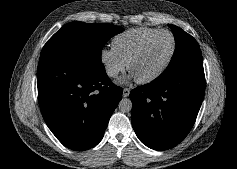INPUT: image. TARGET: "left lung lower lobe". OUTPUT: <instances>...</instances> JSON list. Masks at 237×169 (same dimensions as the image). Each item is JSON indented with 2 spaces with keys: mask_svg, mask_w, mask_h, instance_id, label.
<instances>
[{
  "mask_svg": "<svg viewBox=\"0 0 237 169\" xmlns=\"http://www.w3.org/2000/svg\"><path fill=\"white\" fill-rule=\"evenodd\" d=\"M204 91L203 65L160 75L133 89L131 119L137 137L154 150L176 146L194 125Z\"/></svg>",
  "mask_w": 237,
  "mask_h": 169,
  "instance_id": "obj_1",
  "label": "left lung lower lobe"
}]
</instances>
